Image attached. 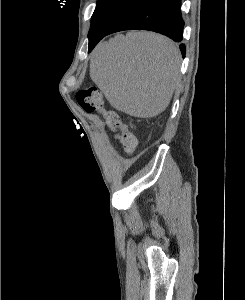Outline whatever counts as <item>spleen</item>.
I'll list each match as a JSON object with an SVG mask.
<instances>
[{"instance_id":"spleen-1","label":"spleen","mask_w":245,"mask_h":300,"mask_svg":"<svg viewBox=\"0 0 245 300\" xmlns=\"http://www.w3.org/2000/svg\"><path fill=\"white\" fill-rule=\"evenodd\" d=\"M179 67L180 52L169 39L131 32L95 50L90 76L115 109L146 118L160 114L169 105Z\"/></svg>"}]
</instances>
